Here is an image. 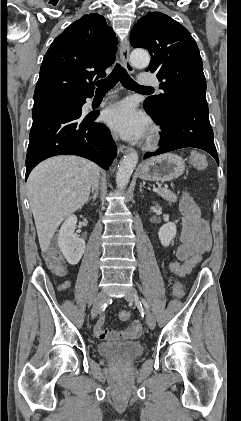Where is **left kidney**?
I'll return each instance as SVG.
<instances>
[{"instance_id": "obj_1", "label": "left kidney", "mask_w": 241, "mask_h": 421, "mask_svg": "<svg viewBox=\"0 0 241 421\" xmlns=\"http://www.w3.org/2000/svg\"><path fill=\"white\" fill-rule=\"evenodd\" d=\"M176 232H177V230H176L175 223L168 222V223L164 224L158 231V236H159L161 244L164 247L169 246V244L171 243V241L175 237Z\"/></svg>"}]
</instances>
